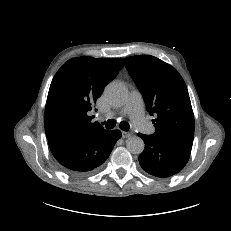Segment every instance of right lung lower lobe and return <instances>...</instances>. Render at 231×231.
<instances>
[{
    "mask_svg": "<svg viewBox=\"0 0 231 231\" xmlns=\"http://www.w3.org/2000/svg\"><path fill=\"white\" fill-rule=\"evenodd\" d=\"M121 137L119 130L99 131L49 141L53 156L64 171L78 176L96 170L109 157Z\"/></svg>",
    "mask_w": 231,
    "mask_h": 231,
    "instance_id": "98d812e1",
    "label": "right lung lower lobe"
}]
</instances>
